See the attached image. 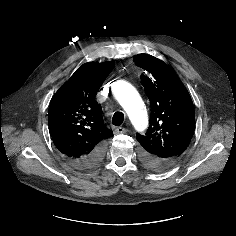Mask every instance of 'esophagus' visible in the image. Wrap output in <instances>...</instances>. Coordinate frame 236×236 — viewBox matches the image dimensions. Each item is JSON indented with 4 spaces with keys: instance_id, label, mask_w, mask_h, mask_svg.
Masks as SVG:
<instances>
[{
    "instance_id": "1",
    "label": "esophagus",
    "mask_w": 236,
    "mask_h": 236,
    "mask_svg": "<svg viewBox=\"0 0 236 236\" xmlns=\"http://www.w3.org/2000/svg\"><path fill=\"white\" fill-rule=\"evenodd\" d=\"M127 132V129L124 128V127H117L115 130H114V133L115 134H124Z\"/></svg>"
}]
</instances>
